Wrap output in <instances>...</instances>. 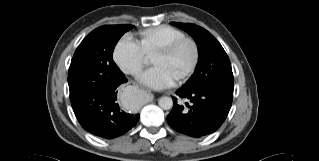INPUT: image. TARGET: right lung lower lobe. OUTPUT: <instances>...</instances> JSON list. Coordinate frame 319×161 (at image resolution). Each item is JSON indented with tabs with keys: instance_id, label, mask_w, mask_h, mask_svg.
<instances>
[{
	"instance_id": "1",
	"label": "right lung lower lobe",
	"mask_w": 319,
	"mask_h": 161,
	"mask_svg": "<svg viewBox=\"0 0 319 161\" xmlns=\"http://www.w3.org/2000/svg\"><path fill=\"white\" fill-rule=\"evenodd\" d=\"M126 81L122 73L112 82L95 86L71 101L75 116L86 131L112 139L137 124L139 114L126 113L117 101V87Z\"/></svg>"
}]
</instances>
